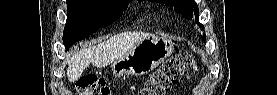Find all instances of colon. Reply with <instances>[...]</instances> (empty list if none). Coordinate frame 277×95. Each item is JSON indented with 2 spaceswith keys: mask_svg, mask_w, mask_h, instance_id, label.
Here are the masks:
<instances>
[{
  "mask_svg": "<svg viewBox=\"0 0 277 95\" xmlns=\"http://www.w3.org/2000/svg\"><path fill=\"white\" fill-rule=\"evenodd\" d=\"M196 72V62L190 53H179L163 63L145 82L139 95H164L181 79ZM76 89L83 95H110L111 86L103 79L85 76L78 80Z\"/></svg>",
  "mask_w": 277,
  "mask_h": 95,
  "instance_id": "obj_1",
  "label": "colon"
}]
</instances>
